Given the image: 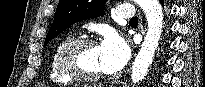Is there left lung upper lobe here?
I'll list each match as a JSON object with an SVG mask.
<instances>
[{
	"instance_id": "5c2ea615",
	"label": "left lung upper lobe",
	"mask_w": 205,
	"mask_h": 87,
	"mask_svg": "<svg viewBox=\"0 0 205 87\" xmlns=\"http://www.w3.org/2000/svg\"><path fill=\"white\" fill-rule=\"evenodd\" d=\"M105 3L106 0H59L44 46L72 24L104 15Z\"/></svg>"
}]
</instances>
